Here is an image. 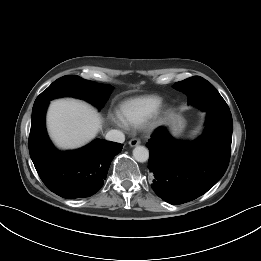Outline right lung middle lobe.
Here are the masks:
<instances>
[{
	"label": "right lung middle lobe",
	"instance_id": "obj_1",
	"mask_svg": "<svg viewBox=\"0 0 261 261\" xmlns=\"http://www.w3.org/2000/svg\"><path fill=\"white\" fill-rule=\"evenodd\" d=\"M112 89L111 85L87 81L79 76H64L53 82L37 97L33 109L44 102L62 96L81 98L102 108Z\"/></svg>",
	"mask_w": 261,
	"mask_h": 261
}]
</instances>
